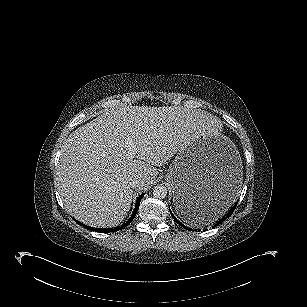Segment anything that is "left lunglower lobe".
<instances>
[{
    "label": "left lung lower lobe",
    "instance_id": "obj_1",
    "mask_svg": "<svg viewBox=\"0 0 307 307\" xmlns=\"http://www.w3.org/2000/svg\"><path fill=\"white\" fill-rule=\"evenodd\" d=\"M236 205H237V204H235V206L231 209V211H230L222 220H220L219 222H217V223L215 224V226L221 224L224 220H226V219L233 213V211H234ZM170 213H171V216L173 217V219H174L180 226L184 227V228L187 229V230H191V229L187 228L186 226H184L182 223H180V221H178V220L176 219V217L172 214L171 210H170ZM215 226H214V227H215Z\"/></svg>",
    "mask_w": 307,
    "mask_h": 307
}]
</instances>
